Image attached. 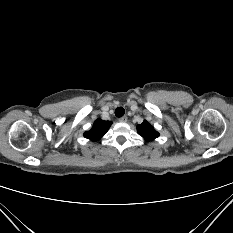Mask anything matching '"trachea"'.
<instances>
[{
  "mask_svg": "<svg viewBox=\"0 0 233 233\" xmlns=\"http://www.w3.org/2000/svg\"><path fill=\"white\" fill-rule=\"evenodd\" d=\"M125 114V110L123 107H118L116 110H115V115L117 117H122L123 115Z\"/></svg>",
  "mask_w": 233,
  "mask_h": 233,
  "instance_id": "1",
  "label": "trachea"
}]
</instances>
